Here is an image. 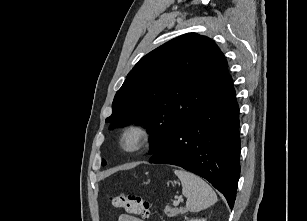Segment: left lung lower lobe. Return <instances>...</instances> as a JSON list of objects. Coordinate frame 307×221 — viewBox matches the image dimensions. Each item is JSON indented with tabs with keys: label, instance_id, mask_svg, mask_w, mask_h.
<instances>
[{
	"label": "left lung lower lobe",
	"instance_id": "left-lung-lower-lobe-1",
	"mask_svg": "<svg viewBox=\"0 0 307 221\" xmlns=\"http://www.w3.org/2000/svg\"><path fill=\"white\" fill-rule=\"evenodd\" d=\"M239 107L232 82L187 120L149 161L208 180L233 208L240 174Z\"/></svg>",
	"mask_w": 307,
	"mask_h": 221
}]
</instances>
